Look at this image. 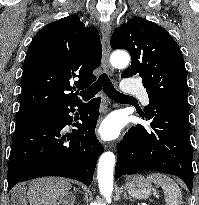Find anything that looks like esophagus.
I'll return each mask as SVG.
<instances>
[{
  "label": "esophagus",
  "mask_w": 199,
  "mask_h": 205,
  "mask_svg": "<svg viewBox=\"0 0 199 205\" xmlns=\"http://www.w3.org/2000/svg\"><path fill=\"white\" fill-rule=\"evenodd\" d=\"M101 32L103 37V57H102V65L104 69L112 74L113 68L110 65L109 57H110V34H111V26L109 23H103L101 25ZM116 145L114 143H110L106 145V149L115 150Z\"/></svg>",
  "instance_id": "34e87169"
}]
</instances>
